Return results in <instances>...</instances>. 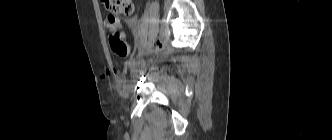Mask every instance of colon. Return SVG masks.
I'll list each match as a JSON object with an SVG mask.
<instances>
[{
	"mask_svg": "<svg viewBox=\"0 0 332 140\" xmlns=\"http://www.w3.org/2000/svg\"><path fill=\"white\" fill-rule=\"evenodd\" d=\"M110 14L104 18V26L111 32L109 43L111 49L120 56H125L128 52V46L125 34L121 30L117 15H130L134 7L132 0H101Z\"/></svg>",
	"mask_w": 332,
	"mask_h": 140,
	"instance_id": "colon-1",
	"label": "colon"
}]
</instances>
